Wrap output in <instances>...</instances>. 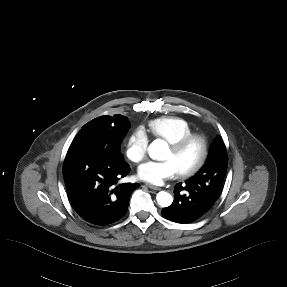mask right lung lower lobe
<instances>
[{"mask_svg":"<svg viewBox=\"0 0 287 287\" xmlns=\"http://www.w3.org/2000/svg\"><path fill=\"white\" fill-rule=\"evenodd\" d=\"M130 171L123 156L80 150L67 153L63 176L67 196L85 221L104 226L120 220L127 212L132 191L138 183L118 181Z\"/></svg>","mask_w":287,"mask_h":287,"instance_id":"1","label":"right lung lower lobe"}]
</instances>
